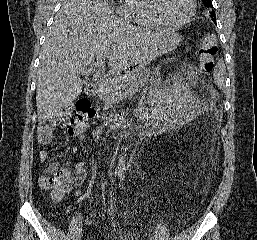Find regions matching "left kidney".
<instances>
[{
	"mask_svg": "<svg viewBox=\"0 0 257 240\" xmlns=\"http://www.w3.org/2000/svg\"><path fill=\"white\" fill-rule=\"evenodd\" d=\"M190 103L189 94L177 90L161 103V117L181 127L196 116Z\"/></svg>",
	"mask_w": 257,
	"mask_h": 240,
	"instance_id": "5707ae66",
	"label": "left kidney"
}]
</instances>
